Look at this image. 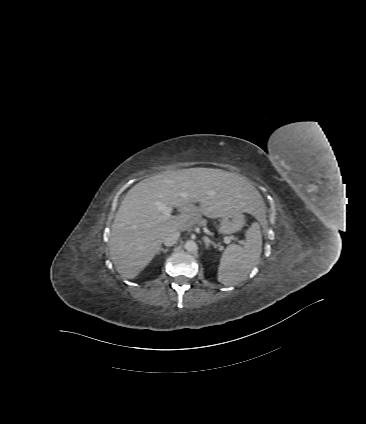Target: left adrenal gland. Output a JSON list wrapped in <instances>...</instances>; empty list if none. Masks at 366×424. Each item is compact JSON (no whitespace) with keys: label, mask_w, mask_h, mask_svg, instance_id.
<instances>
[{"label":"left adrenal gland","mask_w":366,"mask_h":424,"mask_svg":"<svg viewBox=\"0 0 366 424\" xmlns=\"http://www.w3.org/2000/svg\"><path fill=\"white\" fill-rule=\"evenodd\" d=\"M203 240L205 242L206 249H209L210 245L214 246V248L217 247L216 244L213 241H211L207 236H204Z\"/></svg>","instance_id":"a2214340"}]
</instances>
